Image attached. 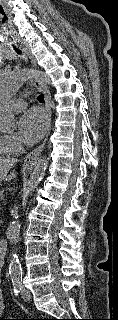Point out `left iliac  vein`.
Returning a JSON list of instances; mask_svg holds the SVG:
<instances>
[{"mask_svg":"<svg viewBox=\"0 0 118 320\" xmlns=\"http://www.w3.org/2000/svg\"><path fill=\"white\" fill-rule=\"evenodd\" d=\"M21 295H22V298L25 300V301H30L31 300V294L29 293V291L24 287V285H21Z\"/></svg>","mask_w":118,"mask_h":320,"instance_id":"4c4485c4","label":"left iliac vein"}]
</instances>
